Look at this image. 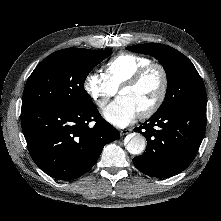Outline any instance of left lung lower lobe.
I'll return each instance as SVG.
<instances>
[{
  "mask_svg": "<svg viewBox=\"0 0 221 221\" xmlns=\"http://www.w3.org/2000/svg\"><path fill=\"white\" fill-rule=\"evenodd\" d=\"M206 129V107H171L156 111L134 129L147 140L146 151L133 159L142 173L170 177L186 169L196 156Z\"/></svg>",
  "mask_w": 221,
  "mask_h": 221,
  "instance_id": "obj_1",
  "label": "left lung lower lobe"
}]
</instances>
